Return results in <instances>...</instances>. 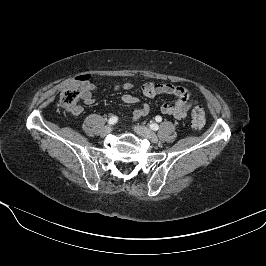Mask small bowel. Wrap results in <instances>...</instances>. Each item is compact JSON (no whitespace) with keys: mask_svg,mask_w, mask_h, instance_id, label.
Instances as JSON below:
<instances>
[{"mask_svg":"<svg viewBox=\"0 0 266 266\" xmlns=\"http://www.w3.org/2000/svg\"><path fill=\"white\" fill-rule=\"evenodd\" d=\"M133 84L131 82H123L121 84H113L115 90H124L129 91L133 88ZM96 91V86L90 82L89 80L83 82L81 87L80 97L83 102L87 105H91L95 101L94 93ZM143 94L152 98L158 94H171L176 97L173 103H164L160 106V112L165 115H169L174 117L175 119L181 120L187 116V112L191 106L193 100H191L190 91L184 86L173 85V84H165V83H156V82H148L142 87ZM122 101L126 104H136L138 102V98L131 94H124L122 96ZM151 107L149 103H143L139 108L135 109L133 112V119L138 120L141 117L149 114ZM83 109L81 106H77L74 111L71 113L74 116H78L82 113Z\"/></svg>","mask_w":266,"mask_h":266,"instance_id":"obj_1","label":"small bowel"}]
</instances>
